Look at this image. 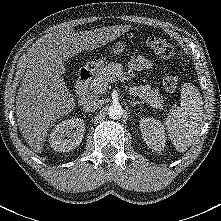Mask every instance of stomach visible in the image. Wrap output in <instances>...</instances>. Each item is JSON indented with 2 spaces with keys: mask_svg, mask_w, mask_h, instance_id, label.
Masks as SVG:
<instances>
[{
  "mask_svg": "<svg viewBox=\"0 0 221 221\" xmlns=\"http://www.w3.org/2000/svg\"><path fill=\"white\" fill-rule=\"evenodd\" d=\"M126 48V45L123 42H117L112 46L111 57L120 55ZM106 62L105 60L99 61H90L87 62L85 68L92 73H97L103 70Z\"/></svg>",
  "mask_w": 221,
  "mask_h": 221,
  "instance_id": "1",
  "label": "stomach"
}]
</instances>
